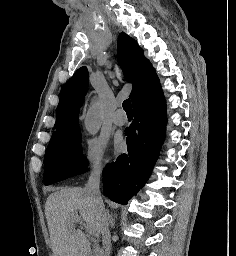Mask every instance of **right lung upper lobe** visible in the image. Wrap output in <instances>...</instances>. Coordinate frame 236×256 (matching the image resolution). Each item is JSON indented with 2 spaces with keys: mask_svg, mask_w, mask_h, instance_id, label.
Masks as SVG:
<instances>
[{
  "mask_svg": "<svg viewBox=\"0 0 236 256\" xmlns=\"http://www.w3.org/2000/svg\"><path fill=\"white\" fill-rule=\"evenodd\" d=\"M118 63L125 80L132 83L130 99L132 104L148 94L159 84L151 63L144 57L143 50L134 39L125 33L118 38ZM88 88L87 68H79L63 86L56 110L55 131L51 140L64 137L78 128V110ZM50 140V141H51Z\"/></svg>",
  "mask_w": 236,
  "mask_h": 256,
  "instance_id": "cb5924a9",
  "label": "right lung upper lobe"
}]
</instances>
